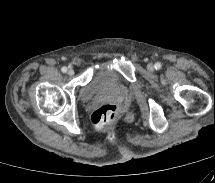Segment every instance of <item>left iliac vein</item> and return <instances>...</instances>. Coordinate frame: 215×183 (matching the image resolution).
Wrapping results in <instances>:
<instances>
[{
    "mask_svg": "<svg viewBox=\"0 0 215 183\" xmlns=\"http://www.w3.org/2000/svg\"><path fill=\"white\" fill-rule=\"evenodd\" d=\"M147 69H148L149 71H153V70H154V65H153L152 63H149V64L147 65Z\"/></svg>",
    "mask_w": 215,
    "mask_h": 183,
    "instance_id": "obj_1",
    "label": "left iliac vein"
}]
</instances>
